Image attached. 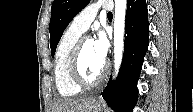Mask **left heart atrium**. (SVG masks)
<instances>
[{
    "label": "left heart atrium",
    "mask_w": 193,
    "mask_h": 112,
    "mask_svg": "<svg viewBox=\"0 0 193 112\" xmlns=\"http://www.w3.org/2000/svg\"><path fill=\"white\" fill-rule=\"evenodd\" d=\"M94 48L98 57L105 62L106 55L108 52V42L103 35H99L94 41Z\"/></svg>",
    "instance_id": "obj_1"
}]
</instances>
